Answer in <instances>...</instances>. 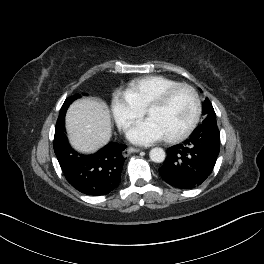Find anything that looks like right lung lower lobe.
<instances>
[{
    "label": "right lung lower lobe",
    "instance_id": "right-lung-lower-lobe-1",
    "mask_svg": "<svg viewBox=\"0 0 264 264\" xmlns=\"http://www.w3.org/2000/svg\"><path fill=\"white\" fill-rule=\"evenodd\" d=\"M125 148L110 142L94 154H78L67 141L64 121L55 130L54 151L64 176L75 189L87 195H105L119 185Z\"/></svg>",
    "mask_w": 264,
    "mask_h": 264
}]
</instances>
